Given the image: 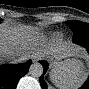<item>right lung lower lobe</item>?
Masks as SVG:
<instances>
[{
	"mask_svg": "<svg viewBox=\"0 0 89 89\" xmlns=\"http://www.w3.org/2000/svg\"><path fill=\"white\" fill-rule=\"evenodd\" d=\"M31 61L21 64H6L0 66V85L2 89H15L21 77L29 70Z\"/></svg>",
	"mask_w": 89,
	"mask_h": 89,
	"instance_id": "right-lung-lower-lobe-1",
	"label": "right lung lower lobe"
}]
</instances>
